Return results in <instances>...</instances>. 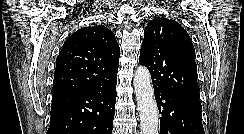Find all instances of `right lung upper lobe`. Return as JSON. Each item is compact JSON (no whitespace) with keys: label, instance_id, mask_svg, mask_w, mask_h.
<instances>
[{"label":"right lung upper lobe","instance_id":"right-lung-upper-lobe-1","mask_svg":"<svg viewBox=\"0 0 244 134\" xmlns=\"http://www.w3.org/2000/svg\"><path fill=\"white\" fill-rule=\"evenodd\" d=\"M120 49L115 35L103 25L77 30L57 59L52 98L104 86L117 77Z\"/></svg>","mask_w":244,"mask_h":134}]
</instances>
